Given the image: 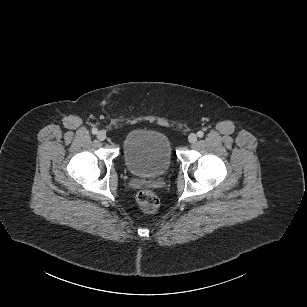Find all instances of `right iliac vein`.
Wrapping results in <instances>:
<instances>
[{"label": "right iliac vein", "instance_id": "1", "mask_svg": "<svg viewBox=\"0 0 307 307\" xmlns=\"http://www.w3.org/2000/svg\"><path fill=\"white\" fill-rule=\"evenodd\" d=\"M97 138L100 140V141H103L106 139V133L104 131H99L97 133Z\"/></svg>", "mask_w": 307, "mask_h": 307}]
</instances>
